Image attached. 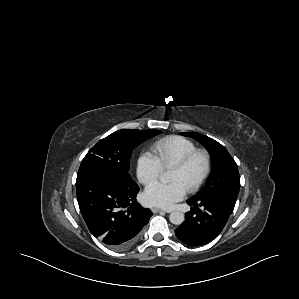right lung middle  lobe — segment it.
<instances>
[{"label": "right lung middle lobe", "instance_id": "dd1d6c3e", "mask_svg": "<svg viewBox=\"0 0 299 299\" xmlns=\"http://www.w3.org/2000/svg\"><path fill=\"white\" fill-rule=\"evenodd\" d=\"M159 133V130L125 129L110 134L90 149L82 160L77 175L87 171H100L111 175L126 187H137L128 173L132 151Z\"/></svg>", "mask_w": 299, "mask_h": 299}]
</instances>
